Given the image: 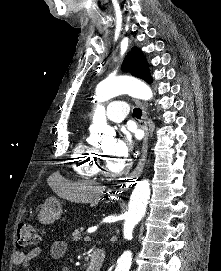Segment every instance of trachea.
<instances>
[{
	"label": "trachea",
	"mask_w": 221,
	"mask_h": 271,
	"mask_svg": "<svg viewBox=\"0 0 221 271\" xmlns=\"http://www.w3.org/2000/svg\"><path fill=\"white\" fill-rule=\"evenodd\" d=\"M133 115H134L136 118L140 119L141 116H142V111L140 110V108H134V109H133Z\"/></svg>",
	"instance_id": "obj_1"
}]
</instances>
